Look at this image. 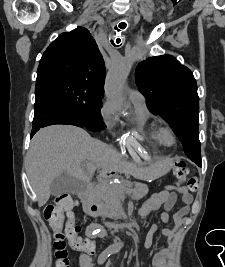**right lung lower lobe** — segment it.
<instances>
[{
  "label": "right lung lower lobe",
  "mask_w": 225,
  "mask_h": 267,
  "mask_svg": "<svg viewBox=\"0 0 225 267\" xmlns=\"http://www.w3.org/2000/svg\"><path fill=\"white\" fill-rule=\"evenodd\" d=\"M35 109L31 137L40 129L54 124H68L85 127L63 103L47 89L36 86Z\"/></svg>",
  "instance_id": "98d812e1"
}]
</instances>
